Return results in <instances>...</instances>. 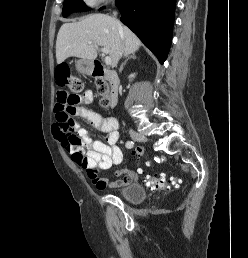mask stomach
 Masks as SVG:
<instances>
[{"mask_svg":"<svg viewBox=\"0 0 248 258\" xmlns=\"http://www.w3.org/2000/svg\"><path fill=\"white\" fill-rule=\"evenodd\" d=\"M76 68L79 72L87 75L93 73V63L89 60L80 59L76 62Z\"/></svg>","mask_w":248,"mask_h":258,"instance_id":"1","label":"stomach"}]
</instances>
